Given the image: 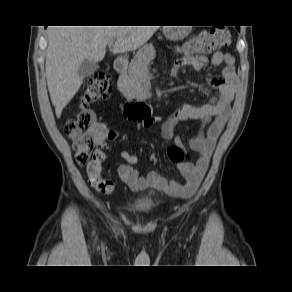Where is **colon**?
I'll return each instance as SVG.
<instances>
[{
	"label": "colon",
	"mask_w": 292,
	"mask_h": 292,
	"mask_svg": "<svg viewBox=\"0 0 292 292\" xmlns=\"http://www.w3.org/2000/svg\"><path fill=\"white\" fill-rule=\"evenodd\" d=\"M230 43V32L226 27H213L202 31L188 41L183 50L189 54L210 55ZM111 95L110 78L106 73L95 74L88 82L81 96L80 111L76 118L68 120L64 125L65 134L72 140L75 159L78 164L86 165L89 184L103 194L114 191L111 181L102 176V163L105 158L103 150H94L96 139L103 127L89 109L93 102L103 100ZM169 161L175 164L183 163L185 153L177 145L169 146L166 150ZM150 161L160 160L158 153L150 155Z\"/></svg>",
	"instance_id": "5ec220e1"
}]
</instances>
